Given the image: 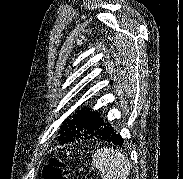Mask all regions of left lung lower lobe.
<instances>
[{
	"label": "left lung lower lobe",
	"instance_id": "1",
	"mask_svg": "<svg viewBox=\"0 0 183 179\" xmlns=\"http://www.w3.org/2000/svg\"><path fill=\"white\" fill-rule=\"evenodd\" d=\"M91 138L104 140V141H107V142H110V143H113L116 145L123 144L121 136L119 134H117V130L114 129V127H112V125L110 123H107V122L101 128H99L94 133H92L91 135H89L87 137H80L77 140L91 139Z\"/></svg>",
	"mask_w": 183,
	"mask_h": 179
}]
</instances>
